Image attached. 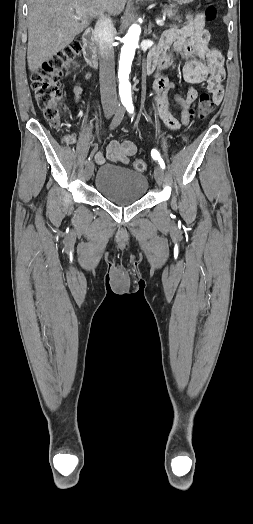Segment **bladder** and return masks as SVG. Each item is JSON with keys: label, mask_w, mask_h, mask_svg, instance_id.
<instances>
[{"label": "bladder", "mask_w": 253, "mask_h": 524, "mask_svg": "<svg viewBox=\"0 0 253 524\" xmlns=\"http://www.w3.org/2000/svg\"><path fill=\"white\" fill-rule=\"evenodd\" d=\"M148 185L145 175L121 166L103 165L95 177L96 190L118 206L131 205L141 200Z\"/></svg>", "instance_id": "obj_1"}]
</instances>
